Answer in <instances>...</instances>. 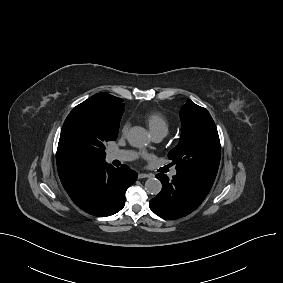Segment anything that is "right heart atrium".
Returning a JSON list of instances; mask_svg holds the SVG:
<instances>
[{"instance_id":"right-heart-atrium-1","label":"right heart atrium","mask_w":283,"mask_h":283,"mask_svg":"<svg viewBox=\"0 0 283 283\" xmlns=\"http://www.w3.org/2000/svg\"><path fill=\"white\" fill-rule=\"evenodd\" d=\"M130 127V122L129 121H124L121 125V133L126 134L129 130Z\"/></svg>"}]
</instances>
